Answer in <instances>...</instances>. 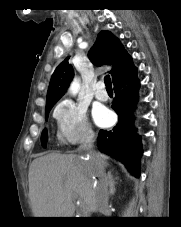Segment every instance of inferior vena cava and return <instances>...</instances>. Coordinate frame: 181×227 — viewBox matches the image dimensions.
Returning <instances> with one entry per match:
<instances>
[{
	"instance_id": "602c4592",
	"label": "inferior vena cava",
	"mask_w": 181,
	"mask_h": 227,
	"mask_svg": "<svg viewBox=\"0 0 181 227\" xmlns=\"http://www.w3.org/2000/svg\"><path fill=\"white\" fill-rule=\"evenodd\" d=\"M93 142H94V133L93 131L90 130L85 134L79 150L91 153V150L93 149ZM97 176L99 178V182H98V190L96 195V203H97V210L100 213H102L108 207L109 181L105 176L104 171L102 170L97 171Z\"/></svg>"
}]
</instances>
